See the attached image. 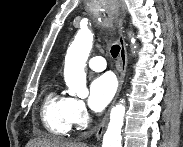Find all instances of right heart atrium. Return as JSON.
Listing matches in <instances>:
<instances>
[{
	"label": "right heart atrium",
	"instance_id": "1",
	"mask_svg": "<svg viewBox=\"0 0 183 147\" xmlns=\"http://www.w3.org/2000/svg\"><path fill=\"white\" fill-rule=\"evenodd\" d=\"M88 111L83 101L72 98L71 118L73 123L85 126L88 122Z\"/></svg>",
	"mask_w": 183,
	"mask_h": 147
}]
</instances>
